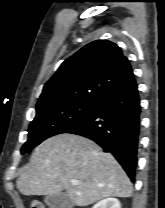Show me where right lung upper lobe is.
<instances>
[{"instance_id":"cb5924a9","label":"right lung upper lobe","mask_w":165,"mask_h":208,"mask_svg":"<svg viewBox=\"0 0 165 208\" xmlns=\"http://www.w3.org/2000/svg\"><path fill=\"white\" fill-rule=\"evenodd\" d=\"M133 77L128 59L116 44L93 41L61 64L45 84L36 109L62 102H98Z\"/></svg>"}]
</instances>
